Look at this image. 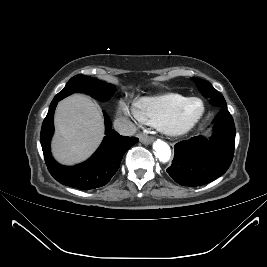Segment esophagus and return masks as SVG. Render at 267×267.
<instances>
[{
    "label": "esophagus",
    "mask_w": 267,
    "mask_h": 267,
    "mask_svg": "<svg viewBox=\"0 0 267 267\" xmlns=\"http://www.w3.org/2000/svg\"><path fill=\"white\" fill-rule=\"evenodd\" d=\"M138 137L143 144H149L152 141V137L147 135L140 134Z\"/></svg>",
    "instance_id": "obj_1"
}]
</instances>
